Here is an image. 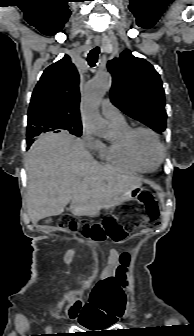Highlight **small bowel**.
Wrapping results in <instances>:
<instances>
[{"label": "small bowel", "mask_w": 194, "mask_h": 336, "mask_svg": "<svg viewBox=\"0 0 194 336\" xmlns=\"http://www.w3.org/2000/svg\"><path fill=\"white\" fill-rule=\"evenodd\" d=\"M119 254L111 250L108 256V266L102 273V278L90 293L88 308L83 315L81 325L109 327L121 316L120 304L124 293L115 275Z\"/></svg>", "instance_id": "obj_1"}]
</instances>
